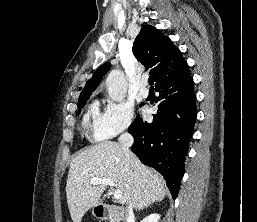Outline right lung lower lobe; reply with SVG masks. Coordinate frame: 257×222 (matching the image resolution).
<instances>
[{
	"label": "right lung lower lobe",
	"mask_w": 257,
	"mask_h": 222,
	"mask_svg": "<svg viewBox=\"0 0 257 222\" xmlns=\"http://www.w3.org/2000/svg\"><path fill=\"white\" fill-rule=\"evenodd\" d=\"M194 82L189 74L155 86L158 111L152 123L137 117L129 127L132 151L163 175L173 198L184 174V160L196 120Z\"/></svg>",
	"instance_id": "1"
}]
</instances>
